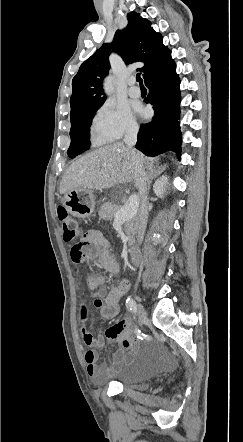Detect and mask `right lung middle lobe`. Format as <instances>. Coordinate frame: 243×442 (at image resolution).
Returning a JSON list of instances; mask_svg holds the SVG:
<instances>
[{
    "label": "right lung middle lobe",
    "instance_id": "right-lung-middle-lobe-1",
    "mask_svg": "<svg viewBox=\"0 0 243 442\" xmlns=\"http://www.w3.org/2000/svg\"><path fill=\"white\" fill-rule=\"evenodd\" d=\"M98 109L99 108L84 112L71 120V144L68 149L69 157L74 158L89 149L90 138L88 133L92 118Z\"/></svg>",
    "mask_w": 243,
    "mask_h": 442
}]
</instances>
